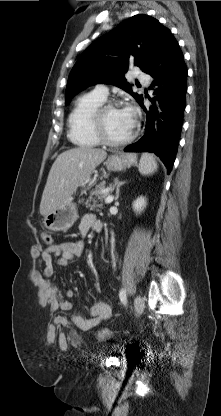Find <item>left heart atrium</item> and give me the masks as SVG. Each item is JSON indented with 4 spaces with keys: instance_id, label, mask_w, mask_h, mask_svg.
<instances>
[{
    "instance_id": "1",
    "label": "left heart atrium",
    "mask_w": 221,
    "mask_h": 416,
    "mask_svg": "<svg viewBox=\"0 0 221 416\" xmlns=\"http://www.w3.org/2000/svg\"><path fill=\"white\" fill-rule=\"evenodd\" d=\"M124 111L130 118L134 119V111L131 108H126Z\"/></svg>"
}]
</instances>
